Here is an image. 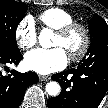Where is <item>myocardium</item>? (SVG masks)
I'll return each instance as SVG.
<instances>
[{
    "instance_id": "f54148a6",
    "label": "myocardium",
    "mask_w": 108,
    "mask_h": 108,
    "mask_svg": "<svg viewBox=\"0 0 108 108\" xmlns=\"http://www.w3.org/2000/svg\"><path fill=\"white\" fill-rule=\"evenodd\" d=\"M74 33H79L82 36V45L77 51L69 53V57L72 61H78L87 54L90 48L91 36L88 28L81 23L73 22L56 31V34L63 39L70 37Z\"/></svg>"
}]
</instances>
